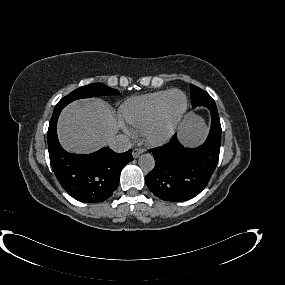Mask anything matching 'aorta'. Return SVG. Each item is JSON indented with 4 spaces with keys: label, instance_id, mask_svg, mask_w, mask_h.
I'll use <instances>...</instances> for the list:
<instances>
[{
    "label": "aorta",
    "instance_id": "762f6f07",
    "mask_svg": "<svg viewBox=\"0 0 285 285\" xmlns=\"http://www.w3.org/2000/svg\"><path fill=\"white\" fill-rule=\"evenodd\" d=\"M138 164L143 171L150 172L155 166V160L151 154H142L139 157Z\"/></svg>",
    "mask_w": 285,
    "mask_h": 285
}]
</instances>
